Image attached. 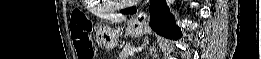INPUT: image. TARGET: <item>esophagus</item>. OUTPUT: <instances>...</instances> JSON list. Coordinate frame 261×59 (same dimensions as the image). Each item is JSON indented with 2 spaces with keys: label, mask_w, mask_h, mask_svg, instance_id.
Here are the masks:
<instances>
[{
  "label": "esophagus",
  "mask_w": 261,
  "mask_h": 59,
  "mask_svg": "<svg viewBox=\"0 0 261 59\" xmlns=\"http://www.w3.org/2000/svg\"><path fill=\"white\" fill-rule=\"evenodd\" d=\"M148 19V15L145 11H140L135 15L133 20L137 22L138 24H146Z\"/></svg>",
  "instance_id": "obj_1"
}]
</instances>
